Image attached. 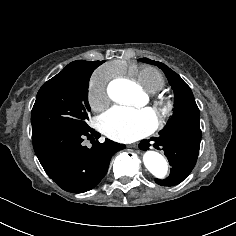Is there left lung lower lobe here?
Here are the masks:
<instances>
[{"mask_svg": "<svg viewBox=\"0 0 236 236\" xmlns=\"http://www.w3.org/2000/svg\"><path fill=\"white\" fill-rule=\"evenodd\" d=\"M154 147L159 146L164 150L165 156L172 168L170 175L164 180L155 179L162 186H174L182 182L194 168L200 149L201 131L179 127H169L159 132ZM142 150H147L149 140H143L139 144Z\"/></svg>", "mask_w": 236, "mask_h": 236, "instance_id": "left-lung-lower-lobe-1", "label": "left lung lower lobe"}]
</instances>
